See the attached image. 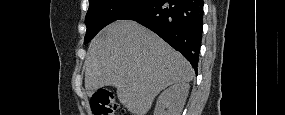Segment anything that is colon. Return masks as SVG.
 <instances>
[{
	"label": "colon",
	"mask_w": 285,
	"mask_h": 115,
	"mask_svg": "<svg viewBox=\"0 0 285 115\" xmlns=\"http://www.w3.org/2000/svg\"><path fill=\"white\" fill-rule=\"evenodd\" d=\"M120 108L113 95L106 90H100L91 99V109L94 115H113ZM122 114L125 110L122 109Z\"/></svg>",
	"instance_id": "5ec220e1"
}]
</instances>
